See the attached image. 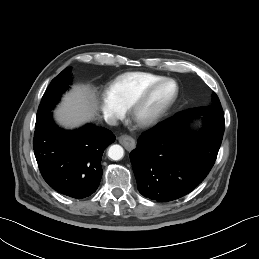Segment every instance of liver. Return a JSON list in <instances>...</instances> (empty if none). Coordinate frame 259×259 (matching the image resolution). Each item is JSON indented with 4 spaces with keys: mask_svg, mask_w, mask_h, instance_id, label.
<instances>
[{
    "mask_svg": "<svg viewBox=\"0 0 259 259\" xmlns=\"http://www.w3.org/2000/svg\"><path fill=\"white\" fill-rule=\"evenodd\" d=\"M96 110L95 93L87 86L78 85L65 95L55 117L61 125L73 128L93 119Z\"/></svg>",
    "mask_w": 259,
    "mask_h": 259,
    "instance_id": "1",
    "label": "liver"
}]
</instances>
